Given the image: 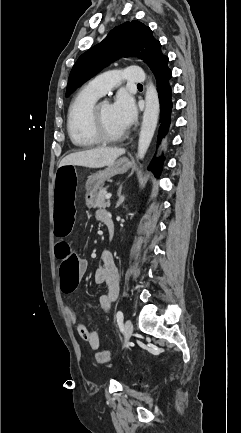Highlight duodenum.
Instances as JSON below:
<instances>
[{
	"label": "duodenum",
	"instance_id": "obj_1",
	"mask_svg": "<svg viewBox=\"0 0 241 433\" xmlns=\"http://www.w3.org/2000/svg\"><path fill=\"white\" fill-rule=\"evenodd\" d=\"M103 223L105 224V226L108 230L109 238H112L113 233H114V221H113L112 217L110 215L104 216Z\"/></svg>",
	"mask_w": 241,
	"mask_h": 433
}]
</instances>
